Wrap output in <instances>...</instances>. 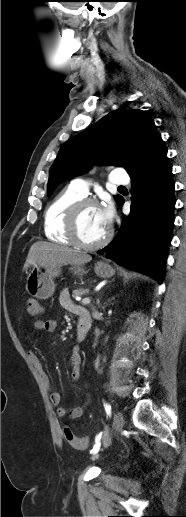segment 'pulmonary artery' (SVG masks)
I'll return each mask as SVG.
<instances>
[{
    "label": "pulmonary artery",
    "mask_w": 186,
    "mask_h": 517,
    "mask_svg": "<svg viewBox=\"0 0 186 517\" xmlns=\"http://www.w3.org/2000/svg\"><path fill=\"white\" fill-rule=\"evenodd\" d=\"M109 181L115 185H126L129 183L130 179L126 170L114 169L109 176ZM71 187L83 196H86L89 191L87 182L80 178L74 179L71 182Z\"/></svg>",
    "instance_id": "e3ab8cb5"
}]
</instances>
